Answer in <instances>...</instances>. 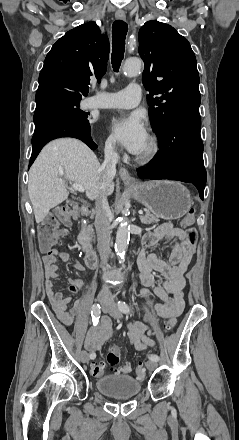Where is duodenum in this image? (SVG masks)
Returning <instances> with one entry per match:
<instances>
[{
    "instance_id": "1",
    "label": "duodenum",
    "mask_w": 239,
    "mask_h": 440,
    "mask_svg": "<svg viewBox=\"0 0 239 440\" xmlns=\"http://www.w3.org/2000/svg\"><path fill=\"white\" fill-rule=\"evenodd\" d=\"M82 218L89 215L90 209L87 205H84L80 209ZM79 244L85 254V263L89 268H94L97 262L96 253L92 247V232L87 224L82 220L79 233Z\"/></svg>"
}]
</instances>
